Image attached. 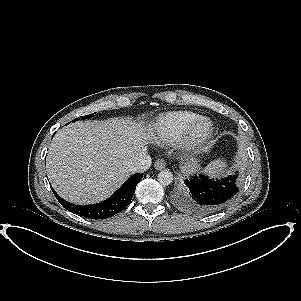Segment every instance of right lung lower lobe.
<instances>
[{
    "label": "right lung lower lobe",
    "mask_w": 301,
    "mask_h": 301,
    "mask_svg": "<svg viewBox=\"0 0 301 301\" xmlns=\"http://www.w3.org/2000/svg\"><path fill=\"white\" fill-rule=\"evenodd\" d=\"M142 178L143 174H134L110 198L94 205L79 206L71 204L52 190L57 200L67 210L87 218L104 219L117 214L129 205L136 185Z\"/></svg>",
    "instance_id": "obj_1"
}]
</instances>
